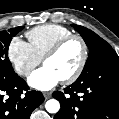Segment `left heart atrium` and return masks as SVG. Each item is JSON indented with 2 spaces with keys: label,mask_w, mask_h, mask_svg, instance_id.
<instances>
[{
  "label": "left heart atrium",
  "mask_w": 119,
  "mask_h": 119,
  "mask_svg": "<svg viewBox=\"0 0 119 119\" xmlns=\"http://www.w3.org/2000/svg\"><path fill=\"white\" fill-rule=\"evenodd\" d=\"M61 78L48 66H43L32 73L29 84L37 90L46 91L56 86Z\"/></svg>",
  "instance_id": "39dd6f15"
}]
</instances>
